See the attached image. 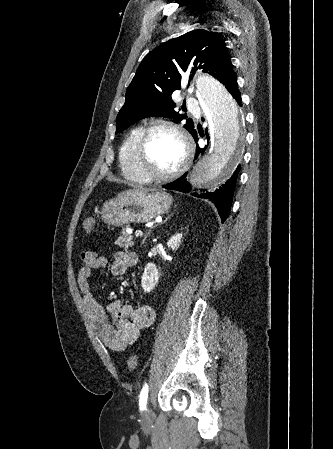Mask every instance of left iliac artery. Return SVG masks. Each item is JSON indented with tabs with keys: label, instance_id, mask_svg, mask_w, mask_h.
Returning <instances> with one entry per match:
<instances>
[{
	"label": "left iliac artery",
	"instance_id": "1",
	"mask_svg": "<svg viewBox=\"0 0 333 449\" xmlns=\"http://www.w3.org/2000/svg\"><path fill=\"white\" fill-rule=\"evenodd\" d=\"M147 398H148V385H144L140 395H139V407L140 410H145L146 409V404H147Z\"/></svg>",
	"mask_w": 333,
	"mask_h": 449
}]
</instances>
